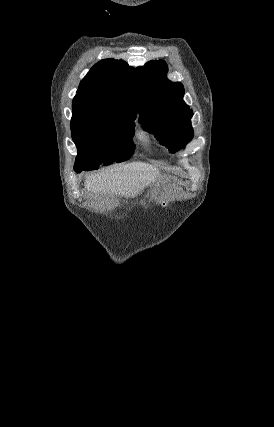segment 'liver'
<instances>
[{"mask_svg": "<svg viewBox=\"0 0 274 427\" xmlns=\"http://www.w3.org/2000/svg\"><path fill=\"white\" fill-rule=\"evenodd\" d=\"M161 174L156 166L144 162H131L125 166L110 168L106 172L92 174L85 180V188L90 196L93 194H118L126 198H135L146 186L154 184Z\"/></svg>", "mask_w": 274, "mask_h": 427, "instance_id": "liver-1", "label": "liver"}]
</instances>
